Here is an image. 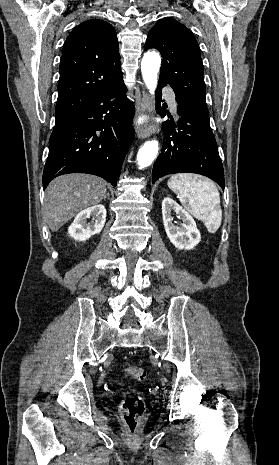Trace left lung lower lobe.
Wrapping results in <instances>:
<instances>
[{
    "mask_svg": "<svg viewBox=\"0 0 279 465\" xmlns=\"http://www.w3.org/2000/svg\"><path fill=\"white\" fill-rule=\"evenodd\" d=\"M165 85L159 81L160 89ZM158 94L161 95V90ZM157 112L165 115L159 106ZM177 113L180 116L177 125L164 123L163 147L153 166L152 182L167 174L191 172L211 178L224 190L223 166L210 121L179 104Z\"/></svg>",
    "mask_w": 279,
    "mask_h": 465,
    "instance_id": "1",
    "label": "left lung lower lobe"
}]
</instances>
